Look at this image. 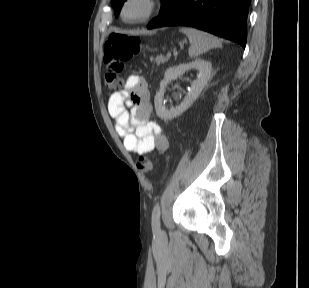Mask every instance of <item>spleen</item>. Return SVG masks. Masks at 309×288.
<instances>
[{
  "label": "spleen",
  "instance_id": "obj_1",
  "mask_svg": "<svg viewBox=\"0 0 309 288\" xmlns=\"http://www.w3.org/2000/svg\"><path fill=\"white\" fill-rule=\"evenodd\" d=\"M180 32L184 33L190 41L191 46L188 53L191 58L198 57L209 49L222 45L217 37L195 28L184 27L180 29Z\"/></svg>",
  "mask_w": 309,
  "mask_h": 288
}]
</instances>
